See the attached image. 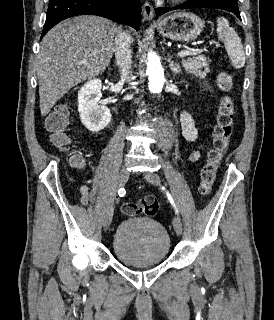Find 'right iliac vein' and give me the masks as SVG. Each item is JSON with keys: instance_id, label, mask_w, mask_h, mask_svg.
Masks as SVG:
<instances>
[{"instance_id": "63e3f726", "label": "right iliac vein", "mask_w": 274, "mask_h": 320, "mask_svg": "<svg viewBox=\"0 0 274 320\" xmlns=\"http://www.w3.org/2000/svg\"><path fill=\"white\" fill-rule=\"evenodd\" d=\"M129 178V171L126 167H122V169L119 172L118 175V186L122 187L126 184L127 180ZM113 213H114V203L111 202V204L108 206L106 210V214L104 216V221H103V227L105 230L109 228L112 222L113 218Z\"/></svg>"}]
</instances>
